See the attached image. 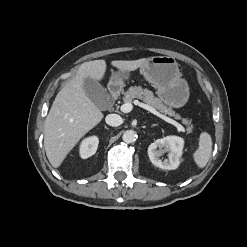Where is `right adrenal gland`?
Listing matches in <instances>:
<instances>
[{
  "mask_svg": "<svg viewBox=\"0 0 247 247\" xmlns=\"http://www.w3.org/2000/svg\"><path fill=\"white\" fill-rule=\"evenodd\" d=\"M104 128H105L106 130H108V128L106 127V125H104Z\"/></svg>",
  "mask_w": 247,
  "mask_h": 247,
  "instance_id": "1",
  "label": "right adrenal gland"
}]
</instances>
